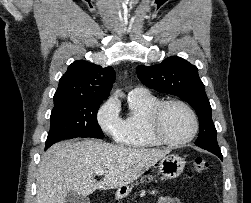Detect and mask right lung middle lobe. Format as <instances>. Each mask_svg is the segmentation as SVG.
I'll return each instance as SVG.
<instances>
[{
  "mask_svg": "<svg viewBox=\"0 0 251 203\" xmlns=\"http://www.w3.org/2000/svg\"><path fill=\"white\" fill-rule=\"evenodd\" d=\"M102 100H79L54 106L45 150L52 144L76 137L103 138L97 122V111Z\"/></svg>",
  "mask_w": 251,
  "mask_h": 203,
  "instance_id": "1",
  "label": "right lung middle lobe"
}]
</instances>
